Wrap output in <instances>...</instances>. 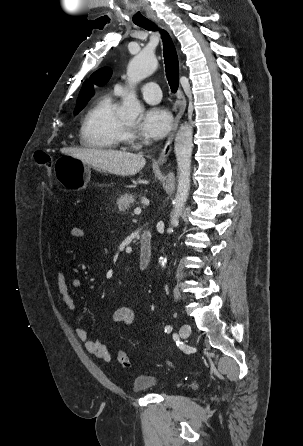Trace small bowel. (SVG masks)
Returning a JSON list of instances; mask_svg holds the SVG:
<instances>
[{"mask_svg":"<svg viewBox=\"0 0 303 446\" xmlns=\"http://www.w3.org/2000/svg\"><path fill=\"white\" fill-rule=\"evenodd\" d=\"M69 234L75 240H80L85 237V231L81 227H72ZM55 273L58 292L67 308L74 311L75 302L70 294V290L82 288L83 282L78 278L68 279L58 258L56 259ZM113 319L115 322L129 324L134 319V311L130 307H121L114 312ZM75 333L84 342L85 349L88 353L106 362L111 360V354L105 344L90 339L87 331L81 327L76 328Z\"/></svg>","mask_w":303,"mask_h":446,"instance_id":"obj_1","label":"small bowel"}]
</instances>
